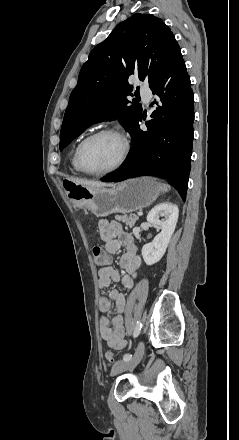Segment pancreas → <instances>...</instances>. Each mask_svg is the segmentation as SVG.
Segmentation results:
<instances>
[{
  "instance_id": "1",
  "label": "pancreas",
  "mask_w": 239,
  "mask_h": 440,
  "mask_svg": "<svg viewBox=\"0 0 239 440\" xmlns=\"http://www.w3.org/2000/svg\"><path fill=\"white\" fill-rule=\"evenodd\" d=\"M115 220H118V222H124L126 226L133 228L137 220H139V216H134V214H130V216H115Z\"/></svg>"
}]
</instances>
